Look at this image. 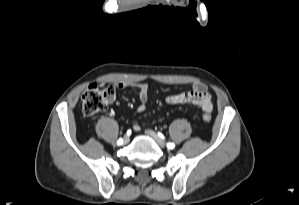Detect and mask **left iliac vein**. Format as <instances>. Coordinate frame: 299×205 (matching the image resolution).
Returning a JSON list of instances; mask_svg holds the SVG:
<instances>
[{
	"mask_svg": "<svg viewBox=\"0 0 299 205\" xmlns=\"http://www.w3.org/2000/svg\"><path fill=\"white\" fill-rule=\"evenodd\" d=\"M146 133L158 144V146H160L161 148L166 147L165 141L153 130H146Z\"/></svg>",
	"mask_w": 299,
	"mask_h": 205,
	"instance_id": "obj_1",
	"label": "left iliac vein"
}]
</instances>
